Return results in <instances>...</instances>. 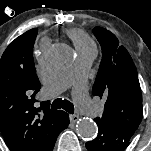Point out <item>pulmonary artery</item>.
Instances as JSON below:
<instances>
[{"label": "pulmonary artery", "mask_w": 151, "mask_h": 151, "mask_svg": "<svg viewBox=\"0 0 151 151\" xmlns=\"http://www.w3.org/2000/svg\"><path fill=\"white\" fill-rule=\"evenodd\" d=\"M95 57V48L77 51L75 65L59 79L50 82L45 89L50 94H57L69 85H73V94L77 104L91 117L98 116L100 113V108L90 100L86 85L87 75Z\"/></svg>", "instance_id": "1"}]
</instances>
